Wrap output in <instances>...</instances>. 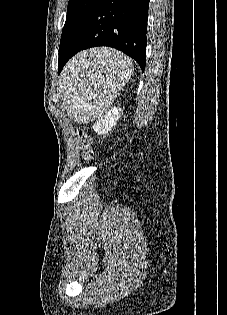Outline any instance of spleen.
Here are the masks:
<instances>
[{
  "label": "spleen",
  "instance_id": "3e777b00",
  "mask_svg": "<svg viewBox=\"0 0 227 315\" xmlns=\"http://www.w3.org/2000/svg\"><path fill=\"white\" fill-rule=\"evenodd\" d=\"M132 74V61L114 49H91L70 61L61 75L60 93L75 121L101 117Z\"/></svg>",
  "mask_w": 227,
  "mask_h": 315
}]
</instances>
